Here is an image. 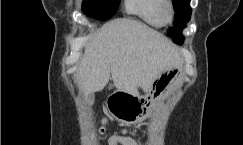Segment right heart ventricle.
<instances>
[{"mask_svg": "<svg viewBox=\"0 0 243 145\" xmlns=\"http://www.w3.org/2000/svg\"><path fill=\"white\" fill-rule=\"evenodd\" d=\"M161 0H125L127 13L137 16L143 22L153 27H162L163 20L159 14Z\"/></svg>", "mask_w": 243, "mask_h": 145, "instance_id": "e07e8e85", "label": "right heart ventricle"}]
</instances>
